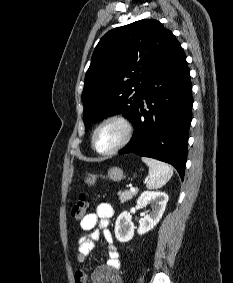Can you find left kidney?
<instances>
[{
  "label": "left kidney",
  "mask_w": 233,
  "mask_h": 283,
  "mask_svg": "<svg viewBox=\"0 0 233 283\" xmlns=\"http://www.w3.org/2000/svg\"><path fill=\"white\" fill-rule=\"evenodd\" d=\"M167 202L168 195L165 192L145 191L141 194L137 200V207L143 208L146 207L147 204L152 203V211L150 214H146L140 221L137 230L139 235L149 232L156 226L162 218ZM134 229L135 227L131 215L127 211L121 213L115 224V236L117 240L120 242L130 241L134 236Z\"/></svg>",
  "instance_id": "left-kidney-1"
}]
</instances>
